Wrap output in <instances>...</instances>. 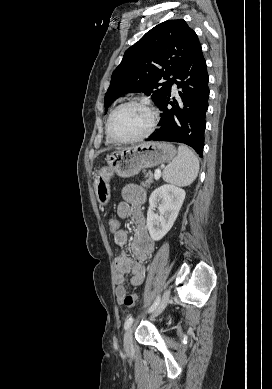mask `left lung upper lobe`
<instances>
[{"instance_id": "obj_1", "label": "left lung upper lobe", "mask_w": 272, "mask_h": 389, "mask_svg": "<svg viewBox=\"0 0 272 389\" xmlns=\"http://www.w3.org/2000/svg\"><path fill=\"white\" fill-rule=\"evenodd\" d=\"M200 47L196 33L183 19L155 26L126 50L112 74L105 109L122 94L142 91L160 106L172 82ZM171 75L174 78L170 79Z\"/></svg>"}]
</instances>
